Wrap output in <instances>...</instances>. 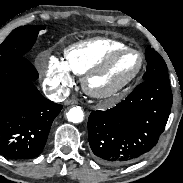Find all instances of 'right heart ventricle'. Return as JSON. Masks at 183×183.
I'll use <instances>...</instances> for the list:
<instances>
[{"label": "right heart ventricle", "instance_id": "1", "mask_svg": "<svg viewBox=\"0 0 183 183\" xmlns=\"http://www.w3.org/2000/svg\"><path fill=\"white\" fill-rule=\"evenodd\" d=\"M126 47L118 40L97 37L68 46L63 52V63L68 71L84 75L111 51Z\"/></svg>", "mask_w": 183, "mask_h": 183}]
</instances>
